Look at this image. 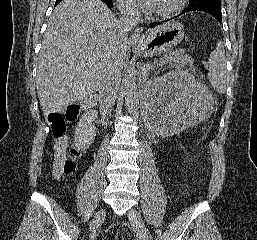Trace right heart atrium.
<instances>
[{
    "label": "right heart atrium",
    "instance_id": "1",
    "mask_svg": "<svg viewBox=\"0 0 257 240\" xmlns=\"http://www.w3.org/2000/svg\"><path fill=\"white\" fill-rule=\"evenodd\" d=\"M121 11L129 17H136L139 13L138 7L133 0H117Z\"/></svg>",
    "mask_w": 257,
    "mask_h": 240
}]
</instances>
